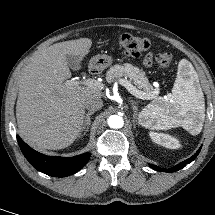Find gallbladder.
Here are the masks:
<instances>
[{
  "mask_svg": "<svg viewBox=\"0 0 215 215\" xmlns=\"http://www.w3.org/2000/svg\"><path fill=\"white\" fill-rule=\"evenodd\" d=\"M67 59V63L69 64V66L74 69L77 70L80 68V64L78 62V58L75 56H71V55H67L66 56Z\"/></svg>",
  "mask_w": 215,
  "mask_h": 215,
  "instance_id": "gallbladder-1",
  "label": "gallbladder"
}]
</instances>
